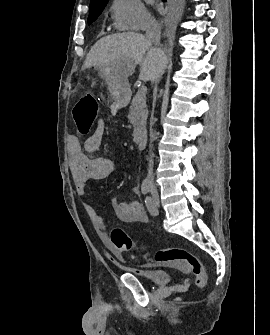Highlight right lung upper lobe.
<instances>
[{"mask_svg":"<svg viewBox=\"0 0 270 335\" xmlns=\"http://www.w3.org/2000/svg\"><path fill=\"white\" fill-rule=\"evenodd\" d=\"M109 0H91L90 1V6L91 5H97V4H102V3H108Z\"/></svg>","mask_w":270,"mask_h":335,"instance_id":"cb5924a9","label":"right lung upper lobe"}]
</instances>
